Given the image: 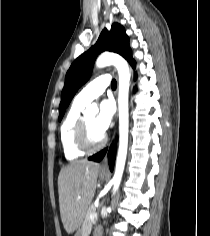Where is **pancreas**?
<instances>
[{"label": "pancreas", "mask_w": 210, "mask_h": 236, "mask_svg": "<svg viewBox=\"0 0 210 236\" xmlns=\"http://www.w3.org/2000/svg\"><path fill=\"white\" fill-rule=\"evenodd\" d=\"M95 213L96 208L94 206H90L82 222V236H87V234L90 232L92 225L94 224V221L90 219V215Z\"/></svg>", "instance_id": "obj_1"}]
</instances>
